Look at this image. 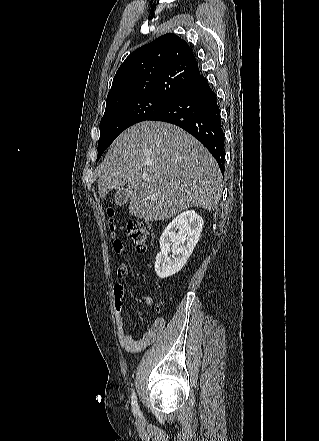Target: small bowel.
<instances>
[{
  "instance_id": "1",
  "label": "small bowel",
  "mask_w": 319,
  "mask_h": 441,
  "mask_svg": "<svg viewBox=\"0 0 319 441\" xmlns=\"http://www.w3.org/2000/svg\"><path fill=\"white\" fill-rule=\"evenodd\" d=\"M123 251V246L119 249L115 248L117 254H121ZM128 274V269L125 265H120L117 269V278L119 282L115 283L112 290L113 305L115 311V320L117 325V338L120 345L129 351H142L148 346L153 344L162 334L165 328V319L163 317L157 316L153 320L149 328L144 332L140 338H133L130 336L124 327L123 322V295H124V285L123 281ZM140 299L147 305H153V300L149 296L139 294ZM160 309L159 305H156L154 310L158 312Z\"/></svg>"
}]
</instances>
